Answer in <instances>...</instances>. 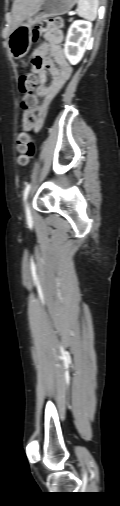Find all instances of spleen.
<instances>
[{"mask_svg": "<svg viewBox=\"0 0 120 506\" xmlns=\"http://www.w3.org/2000/svg\"><path fill=\"white\" fill-rule=\"evenodd\" d=\"M98 0H78V15L93 21L97 16Z\"/></svg>", "mask_w": 120, "mask_h": 506, "instance_id": "spleen-1", "label": "spleen"}]
</instances>
